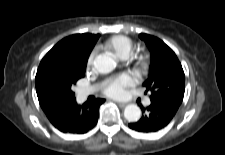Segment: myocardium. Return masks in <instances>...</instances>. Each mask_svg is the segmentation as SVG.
I'll return each mask as SVG.
<instances>
[{
  "mask_svg": "<svg viewBox=\"0 0 225 155\" xmlns=\"http://www.w3.org/2000/svg\"><path fill=\"white\" fill-rule=\"evenodd\" d=\"M138 64L140 66H144L145 65V59L144 58L139 59Z\"/></svg>",
  "mask_w": 225,
  "mask_h": 155,
  "instance_id": "myocardium-1",
  "label": "myocardium"
}]
</instances>
